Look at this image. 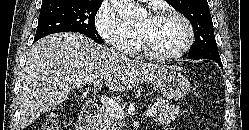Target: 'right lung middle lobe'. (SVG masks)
<instances>
[{
  "instance_id": "dd1d6c3e",
  "label": "right lung middle lobe",
  "mask_w": 249,
  "mask_h": 130,
  "mask_svg": "<svg viewBox=\"0 0 249 130\" xmlns=\"http://www.w3.org/2000/svg\"><path fill=\"white\" fill-rule=\"evenodd\" d=\"M101 4L86 0H60L42 5L34 40L53 33L72 31L102 43L95 28V16Z\"/></svg>"
}]
</instances>
